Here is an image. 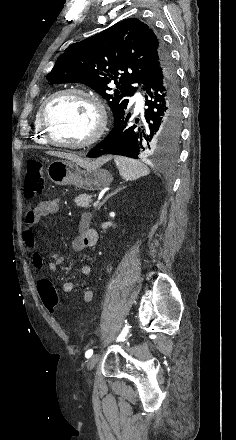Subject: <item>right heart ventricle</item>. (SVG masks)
<instances>
[{"label":"right heart ventricle","mask_w":236,"mask_h":440,"mask_svg":"<svg viewBox=\"0 0 236 440\" xmlns=\"http://www.w3.org/2000/svg\"><path fill=\"white\" fill-rule=\"evenodd\" d=\"M42 104L37 109L36 114H35V118H34V137H35L36 142H38L40 144H47L48 142L42 132V129H41L40 123H39V115H40V110H41Z\"/></svg>","instance_id":"e07e8e85"}]
</instances>
